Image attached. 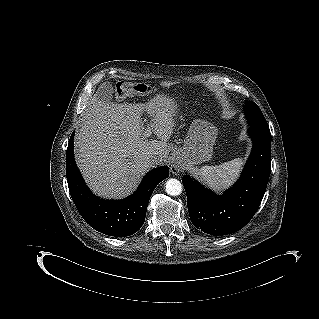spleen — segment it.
<instances>
[{
  "mask_svg": "<svg viewBox=\"0 0 319 319\" xmlns=\"http://www.w3.org/2000/svg\"><path fill=\"white\" fill-rule=\"evenodd\" d=\"M243 160L236 158L215 166H203L197 170V174L202 181L211 188L219 190L230 185L240 172Z\"/></svg>",
  "mask_w": 319,
  "mask_h": 319,
  "instance_id": "obj_1",
  "label": "spleen"
}]
</instances>
